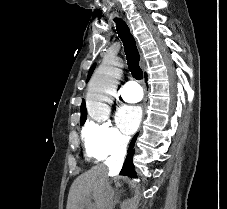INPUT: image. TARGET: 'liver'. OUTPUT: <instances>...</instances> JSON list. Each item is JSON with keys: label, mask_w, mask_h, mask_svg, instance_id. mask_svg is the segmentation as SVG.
I'll list each match as a JSON object with an SVG mask.
<instances>
[{"label": "liver", "mask_w": 227, "mask_h": 209, "mask_svg": "<svg viewBox=\"0 0 227 209\" xmlns=\"http://www.w3.org/2000/svg\"><path fill=\"white\" fill-rule=\"evenodd\" d=\"M105 181H107L105 165L92 167L91 171L77 177L71 185L66 209H84V201L90 195H93L97 201L103 191Z\"/></svg>", "instance_id": "obj_1"}]
</instances>
